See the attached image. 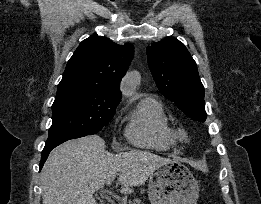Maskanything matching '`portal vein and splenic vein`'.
Listing matches in <instances>:
<instances>
[{"mask_svg":"<svg viewBox=\"0 0 261 204\" xmlns=\"http://www.w3.org/2000/svg\"><path fill=\"white\" fill-rule=\"evenodd\" d=\"M114 178H115V176H112V177L108 178V180L106 181V184H107V185H111V183L113 182ZM109 193L112 194V192H109ZM114 197H115L116 199H119V197L116 196V195H114ZM124 204H126V203H124Z\"/></svg>","mask_w":261,"mask_h":204,"instance_id":"18ae733b","label":"portal vein and splenic vein"}]
</instances>
